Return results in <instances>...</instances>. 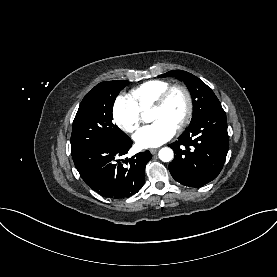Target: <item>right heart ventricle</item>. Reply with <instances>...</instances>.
<instances>
[{
	"instance_id": "right-heart-ventricle-1",
	"label": "right heart ventricle",
	"mask_w": 277,
	"mask_h": 277,
	"mask_svg": "<svg viewBox=\"0 0 277 277\" xmlns=\"http://www.w3.org/2000/svg\"><path fill=\"white\" fill-rule=\"evenodd\" d=\"M169 86L170 83L165 80H150L131 89L129 97L140 111H145Z\"/></svg>"
}]
</instances>
